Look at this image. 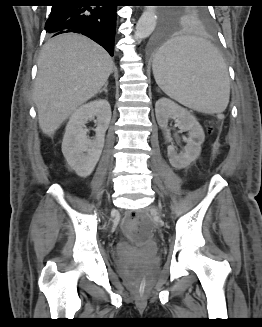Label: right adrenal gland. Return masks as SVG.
I'll list each match as a JSON object with an SVG mask.
<instances>
[{
  "instance_id": "obj_1",
  "label": "right adrenal gland",
  "mask_w": 262,
  "mask_h": 327,
  "mask_svg": "<svg viewBox=\"0 0 262 327\" xmlns=\"http://www.w3.org/2000/svg\"><path fill=\"white\" fill-rule=\"evenodd\" d=\"M107 85H108V84H105V85H104L103 89H101V90L99 91V94H101L102 92H105L106 94L108 93Z\"/></svg>"
}]
</instances>
